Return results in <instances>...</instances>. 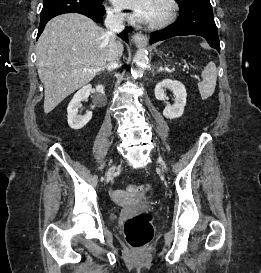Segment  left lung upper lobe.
Listing matches in <instances>:
<instances>
[{"label":"left lung upper lobe","instance_id":"1","mask_svg":"<svg viewBox=\"0 0 261 273\" xmlns=\"http://www.w3.org/2000/svg\"><path fill=\"white\" fill-rule=\"evenodd\" d=\"M179 5L186 3L189 0H176Z\"/></svg>","mask_w":261,"mask_h":273}]
</instances>
